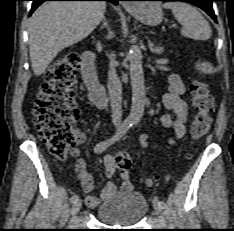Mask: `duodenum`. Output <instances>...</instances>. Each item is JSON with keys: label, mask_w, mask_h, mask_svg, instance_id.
<instances>
[{"label": "duodenum", "mask_w": 234, "mask_h": 231, "mask_svg": "<svg viewBox=\"0 0 234 231\" xmlns=\"http://www.w3.org/2000/svg\"><path fill=\"white\" fill-rule=\"evenodd\" d=\"M81 74L85 86L90 93V99L101 108L106 107V91L100 83L95 70V55L91 51H86L82 57Z\"/></svg>", "instance_id": "duodenum-1"}]
</instances>
